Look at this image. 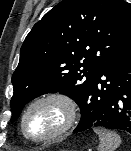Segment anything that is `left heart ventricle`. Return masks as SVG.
Returning a JSON list of instances; mask_svg holds the SVG:
<instances>
[{
  "instance_id": "left-heart-ventricle-1",
  "label": "left heart ventricle",
  "mask_w": 131,
  "mask_h": 151,
  "mask_svg": "<svg viewBox=\"0 0 131 151\" xmlns=\"http://www.w3.org/2000/svg\"><path fill=\"white\" fill-rule=\"evenodd\" d=\"M63 121L64 111L59 105L44 103L31 110L27 116L25 127L30 136L39 138L54 132Z\"/></svg>"
}]
</instances>
